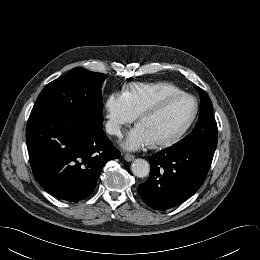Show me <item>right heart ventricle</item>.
Instances as JSON below:
<instances>
[{"label": "right heart ventricle", "mask_w": 260, "mask_h": 260, "mask_svg": "<svg viewBox=\"0 0 260 260\" xmlns=\"http://www.w3.org/2000/svg\"><path fill=\"white\" fill-rule=\"evenodd\" d=\"M177 91L181 90L169 82L134 83L124 90L123 95L132 112L139 115L161 96Z\"/></svg>", "instance_id": "right-heart-ventricle-1"}]
</instances>
